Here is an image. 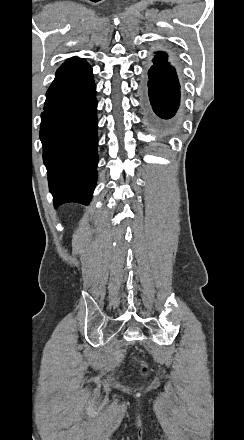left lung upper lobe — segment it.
<instances>
[{
	"label": "left lung upper lobe",
	"mask_w": 244,
	"mask_h": 440,
	"mask_svg": "<svg viewBox=\"0 0 244 440\" xmlns=\"http://www.w3.org/2000/svg\"><path fill=\"white\" fill-rule=\"evenodd\" d=\"M155 57L167 59L168 58V54L166 52H164V51H158L156 53Z\"/></svg>",
	"instance_id": "5c2ea615"
}]
</instances>
